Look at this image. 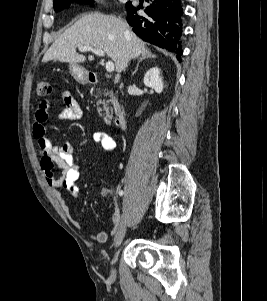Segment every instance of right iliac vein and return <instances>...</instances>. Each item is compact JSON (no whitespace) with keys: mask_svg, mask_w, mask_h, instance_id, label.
I'll use <instances>...</instances> for the list:
<instances>
[{"mask_svg":"<svg viewBox=\"0 0 267 301\" xmlns=\"http://www.w3.org/2000/svg\"><path fill=\"white\" fill-rule=\"evenodd\" d=\"M126 230H127V220H126V216L123 215L120 220L118 231L115 236V241H114L115 248H118L123 242L126 235ZM111 274L112 276H115L116 272L114 268L111 269Z\"/></svg>","mask_w":267,"mask_h":301,"instance_id":"obj_1","label":"right iliac vein"}]
</instances>
